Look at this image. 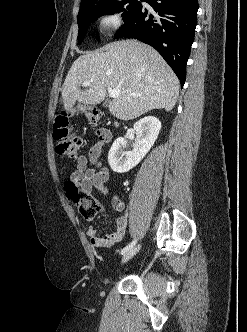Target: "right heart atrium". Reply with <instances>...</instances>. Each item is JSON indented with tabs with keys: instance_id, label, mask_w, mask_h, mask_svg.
Returning a JSON list of instances; mask_svg holds the SVG:
<instances>
[{
	"instance_id": "obj_1",
	"label": "right heart atrium",
	"mask_w": 247,
	"mask_h": 332,
	"mask_svg": "<svg viewBox=\"0 0 247 332\" xmlns=\"http://www.w3.org/2000/svg\"><path fill=\"white\" fill-rule=\"evenodd\" d=\"M122 26V18L118 12L109 11L100 18V28L106 34L115 33Z\"/></svg>"
}]
</instances>
